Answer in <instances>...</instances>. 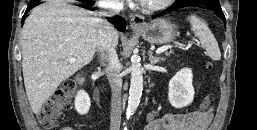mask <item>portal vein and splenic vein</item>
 Segmentation results:
<instances>
[{
	"label": "portal vein and splenic vein",
	"mask_w": 257,
	"mask_h": 130,
	"mask_svg": "<svg viewBox=\"0 0 257 130\" xmlns=\"http://www.w3.org/2000/svg\"><path fill=\"white\" fill-rule=\"evenodd\" d=\"M169 48H171V47L168 46V47L160 48V49L156 50V53H157V54L163 53L164 51L168 50ZM75 61H76L75 58H70V60H69V62H71V63H73V62H75Z\"/></svg>",
	"instance_id": "portal-vein-and-splenic-vein-1"
}]
</instances>
